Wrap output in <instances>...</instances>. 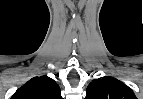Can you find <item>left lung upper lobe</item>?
I'll return each instance as SVG.
<instances>
[{
    "mask_svg": "<svg viewBox=\"0 0 143 99\" xmlns=\"http://www.w3.org/2000/svg\"><path fill=\"white\" fill-rule=\"evenodd\" d=\"M86 92L85 99H137L127 85L110 76L94 79Z\"/></svg>",
    "mask_w": 143,
    "mask_h": 99,
    "instance_id": "left-lung-upper-lobe-1",
    "label": "left lung upper lobe"
}]
</instances>
